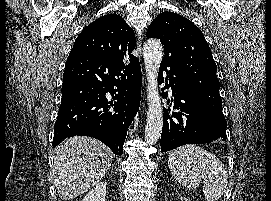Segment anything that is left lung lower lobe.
I'll return each instance as SVG.
<instances>
[{
  "label": "left lung lower lobe",
  "instance_id": "left-lung-lower-lobe-1",
  "mask_svg": "<svg viewBox=\"0 0 271 201\" xmlns=\"http://www.w3.org/2000/svg\"><path fill=\"white\" fill-rule=\"evenodd\" d=\"M163 71L169 79V85L165 84L163 90L171 87L174 98L168 109L164 108L161 151H170L184 144L225 141L227 136L220 132L207 107L196 94L184 87L182 78L173 68L161 63L158 81H164ZM163 97L167 98V92Z\"/></svg>",
  "mask_w": 271,
  "mask_h": 201
}]
</instances>
